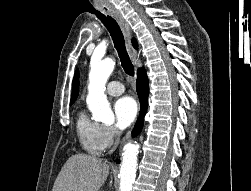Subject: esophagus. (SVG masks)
I'll return each mask as SVG.
<instances>
[{"label": "esophagus", "instance_id": "obj_1", "mask_svg": "<svg viewBox=\"0 0 251 191\" xmlns=\"http://www.w3.org/2000/svg\"><path fill=\"white\" fill-rule=\"evenodd\" d=\"M110 15H112L114 18H116L117 22L121 26L123 33H124V36H125V39H126V45H127V49L129 51V54L132 58V61H135L138 53L131 45L132 34H131L130 26L128 25L126 20H124V18L122 17V15L118 11H112V12H110ZM129 136H130V133H127V135L124 136V138L121 141V145H123L126 142V140H128Z\"/></svg>", "mask_w": 251, "mask_h": 191}]
</instances>
